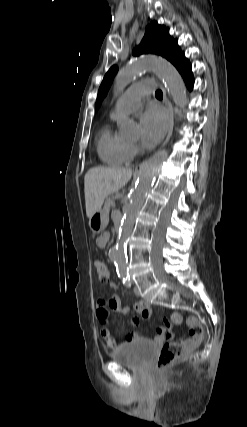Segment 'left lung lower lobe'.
<instances>
[{"label":"left lung lower lobe","mask_w":247,"mask_h":427,"mask_svg":"<svg viewBox=\"0 0 247 427\" xmlns=\"http://www.w3.org/2000/svg\"><path fill=\"white\" fill-rule=\"evenodd\" d=\"M176 68L180 72V74L182 75L183 79L185 80V83H186L188 89L192 90L193 84H194V79H193V75H192L190 62L186 59L183 62H181Z\"/></svg>","instance_id":"0a47b994"}]
</instances>
